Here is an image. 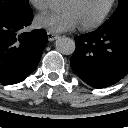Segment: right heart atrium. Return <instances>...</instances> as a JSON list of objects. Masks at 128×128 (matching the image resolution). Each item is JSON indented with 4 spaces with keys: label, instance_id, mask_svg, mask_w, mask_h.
Masks as SVG:
<instances>
[{
    "label": "right heart atrium",
    "instance_id": "1",
    "mask_svg": "<svg viewBox=\"0 0 128 128\" xmlns=\"http://www.w3.org/2000/svg\"><path fill=\"white\" fill-rule=\"evenodd\" d=\"M29 3L39 11H45L49 7V0H28Z\"/></svg>",
    "mask_w": 128,
    "mask_h": 128
}]
</instances>
